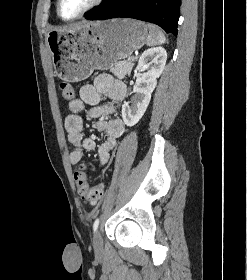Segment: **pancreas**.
Here are the masks:
<instances>
[{
	"mask_svg": "<svg viewBox=\"0 0 247 280\" xmlns=\"http://www.w3.org/2000/svg\"><path fill=\"white\" fill-rule=\"evenodd\" d=\"M133 63L131 61H119L116 65L111 69V72L118 78L122 79L126 75L131 73L133 68Z\"/></svg>",
	"mask_w": 247,
	"mask_h": 280,
	"instance_id": "obj_1",
	"label": "pancreas"
}]
</instances>
